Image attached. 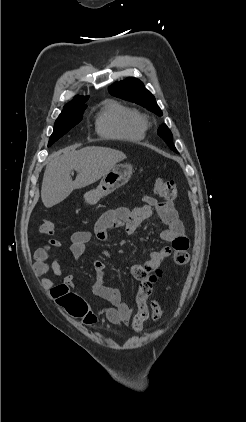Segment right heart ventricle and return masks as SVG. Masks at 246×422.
Masks as SVG:
<instances>
[{
    "instance_id": "1",
    "label": "right heart ventricle",
    "mask_w": 246,
    "mask_h": 422,
    "mask_svg": "<svg viewBox=\"0 0 246 422\" xmlns=\"http://www.w3.org/2000/svg\"><path fill=\"white\" fill-rule=\"evenodd\" d=\"M96 129L106 138L138 141L145 136L146 122L135 108L108 99L98 114Z\"/></svg>"
}]
</instances>
